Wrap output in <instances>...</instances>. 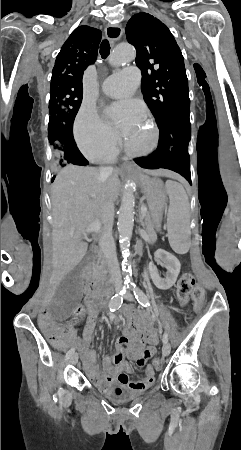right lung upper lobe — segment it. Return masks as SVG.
<instances>
[{"mask_svg": "<svg viewBox=\"0 0 241 450\" xmlns=\"http://www.w3.org/2000/svg\"><path fill=\"white\" fill-rule=\"evenodd\" d=\"M101 31L88 26L76 28L62 46L52 71L51 86L67 84L83 88V72L97 58Z\"/></svg>", "mask_w": 241, "mask_h": 450, "instance_id": "cb5924a9", "label": "right lung upper lobe"}]
</instances>
